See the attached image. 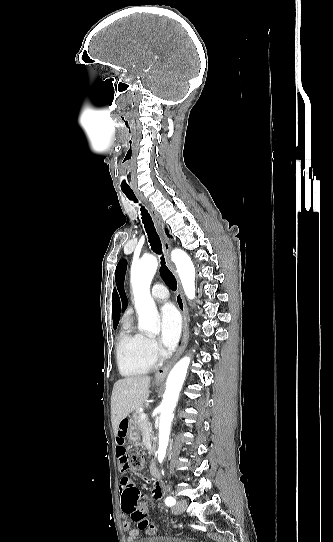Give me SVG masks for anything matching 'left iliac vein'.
<instances>
[{
	"label": "left iliac vein",
	"instance_id": "1",
	"mask_svg": "<svg viewBox=\"0 0 333 542\" xmlns=\"http://www.w3.org/2000/svg\"><path fill=\"white\" fill-rule=\"evenodd\" d=\"M187 508V502L185 500H178L173 507V511L177 514L183 513Z\"/></svg>",
	"mask_w": 333,
	"mask_h": 542
}]
</instances>
